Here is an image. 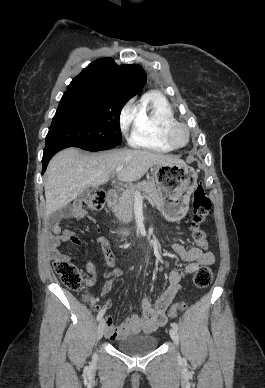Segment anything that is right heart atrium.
I'll use <instances>...</instances> for the list:
<instances>
[{"label": "right heart atrium", "mask_w": 265, "mask_h": 388, "mask_svg": "<svg viewBox=\"0 0 265 388\" xmlns=\"http://www.w3.org/2000/svg\"><path fill=\"white\" fill-rule=\"evenodd\" d=\"M136 109L133 105V102L130 101L124 108L122 114V125L126 129L127 125L134 119L136 114Z\"/></svg>", "instance_id": "1"}]
</instances>
